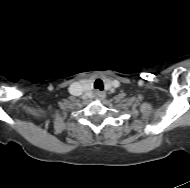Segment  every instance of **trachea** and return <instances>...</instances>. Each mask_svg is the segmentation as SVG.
Listing matches in <instances>:
<instances>
[{"label":"trachea","mask_w":190,"mask_h":188,"mask_svg":"<svg viewBox=\"0 0 190 188\" xmlns=\"http://www.w3.org/2000/svg\"><path fill=\"white\" fill-rule=\"evenodd\" d=\"M94 88L98 90H103V82L101 79H97L94 83Z\"/></svg>","instance_id":"trachea-1"}]
</instances>
